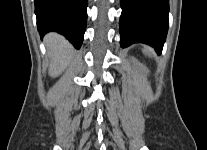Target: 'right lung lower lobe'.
I'll return each mask as SVG.
<instances>
[{"mask_svg": "<svg viewBox=\"0 0 207 150\" xmlns=\"http://www.w3.org/2000/svg\"><path fill=\"white\" fill-rule=\"evenodd\" d=\"M87 5L88 0H35L39 33L58 32L79 49L86 30Z\"/></svg>", "mask_w": 207, "mask_h": 150, "instance_id": "1", "label": "right lung lower lobe"}]
</instances>
